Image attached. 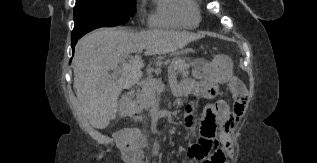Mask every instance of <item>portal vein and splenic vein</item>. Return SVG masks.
Returning <instances> with one entry per match:
<instances>
[{"mask_svg":"<svg viewBox=\"0 0 317 163\" xmlns=\"http://www.w3.org/2000/svg\"><path fill=\"white\" fill-rule=\"evenodd\" d=\"M117 72L114 70V74H116ZM171 77H174L173 73H170ZM148 85L150 86V88L155 89L156 91H162L165 87V85L162 83L161 80H156V79H151L148 83Z\"/></svg>","mask_w":317,"mask_h":163,"instance_id":"18ae733b","label":"portal vein and splenic vein"}]
</instances>
